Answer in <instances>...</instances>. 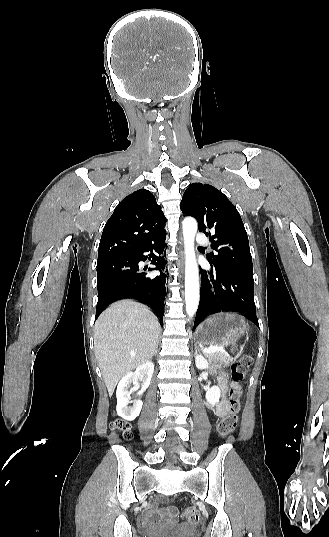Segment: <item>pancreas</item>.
Masks as SVG:
<instances>
[{"label": "pancreas", "mask_w": 329, "mask_h": 537, "mask_svg": "<svg viewBox=\"0 0 329 537\" xmlns=\"http://www.w3.org/2000/svg\"><path fill=\"white\" fill-rule=\"evenodd\" d=\"M205 356L206 358H208L210 362H214V363L220 362V363H224L225 365H228L232 361L229 355H227L226 353L222 351H216L213 353H205Z\"/></svg>", "instance_id": "pancreas-1"}]
</instances>
